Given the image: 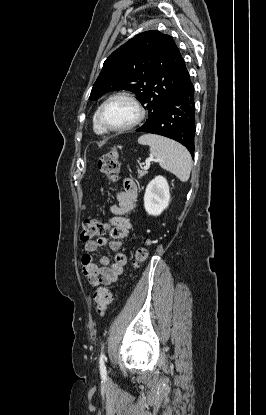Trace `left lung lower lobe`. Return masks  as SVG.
<instances>
[{
  "instance_id": "1",
  "label": "left lung lower lobe",
  "mask_w": 266,
  "mask_h": 415,
  "mask_svg": "<svg viewBox=\"0 0 266 415\" xmlns=\"http://www.w3.org/2000/svg\"><path fill=\"white\" fill-rule=\"evenodd\" d=\"M194 94V86L187 72L182 85L169 99L158 117L136 131L158 134L176 140L194 156Z\"/></svg>"
}]
</instances>
